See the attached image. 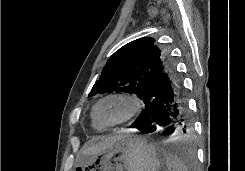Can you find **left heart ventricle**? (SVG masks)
<instances>
[{
	"label": "left heart ventricle",
	"instance_id": "obj_1",
	"mask_svg": "<svg viewBox=\"0 0 245 171\" xmlns=\"http://www.w3.org/2000/svg\"><path fill=\"white\" fill-rule=\"evenodd\" d=\"M127 110L126 102L119 99H109L100 104L97 114L102 121L110 123L124 117Z\"/></svg>",
	"mask_w": 245,
	"mask_h": 171
}]
</instances>
